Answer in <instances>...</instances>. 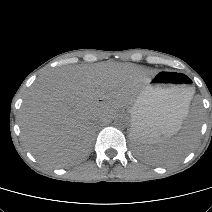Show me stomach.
I'll return each mask as SVG.
<instances>
[{
    "instance_id": "obj_1",
    "label": "stomach",
    "mask_w": 212,
    "mask_h": 212,
    "mask_svg": "<svg viewBox=\"0 0 212 212\" xmlns=\"http://www.w3.org/2000/svg\"><path fill=\"white\" fill-rule=\"evenodd\" d=\"M179 72H157L131 107L130 139L134 145H154L170 139L181 128L186 95L192 92Z\"/></svg>"
}]
</instances>
